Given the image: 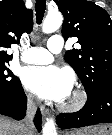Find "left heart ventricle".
<instances>
[{
    "label": "left heart ventricle",
    "mask_w": 112,
    "mask_h": 135,
    "mask_svg": "<svg viewBox=\"0 0 112 135\" xmlns=\"http://www.w3.org/2000/svg\"><path fill=\"white\" fill-rule=\"evenodd\" d=\"M70 98H71V96H70V97H68L67 101H68Z\"/></svg>",
    "instance_id": "left-heart-ventricle-1"
}]
</instances>
